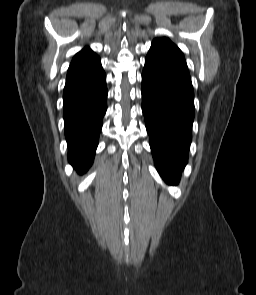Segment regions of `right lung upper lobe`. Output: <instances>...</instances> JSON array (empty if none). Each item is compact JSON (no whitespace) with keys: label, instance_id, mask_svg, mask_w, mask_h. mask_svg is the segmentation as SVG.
<instances>
[{"label":"right lung upper lobe","instance_id":"cb5924a9","mask_svg":"<svg viewBox=\"0 0 256 295\" xmlns=\"http://www.w3.org/2000/svg\"><path fill=\"white\" fill-rule=\"evenodd\" d=\"M97 56L89 47L84 48L78 52L72 59L71 65L87 58Z\"/></svg>","mask_w":256,"mask_h":295}]
</instances>
